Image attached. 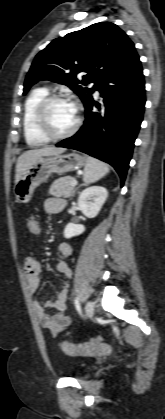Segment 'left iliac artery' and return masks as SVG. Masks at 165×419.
<instances>
[{"mask_svg": "<svg viewBox=\"0 0 165 419\" xmlns=\"http://www.w3.org/2000/svg\"><path fill=\"white\" fill-rule=\"evenodd\" d=\"M74 304H75V307H76L77 311L80 313V315H82V313H81V307H80V302H79V298L78 297L75 298Z\"/></svg>", "mask_w": 165, "mask_h": 419, "instance_id": "1", "label": "left iliac artery"}]
</instances>
